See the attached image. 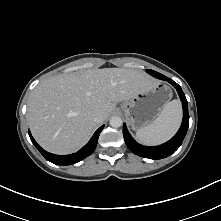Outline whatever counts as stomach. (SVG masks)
<instances>
[{"label": "stomach", "mask_w": 221, "mask_h": 221, "mask_svg": "<svg viewBox=\"0 0 221 221\" xmlns=\"http://www.w3.org/2000/svg\"><path fill=\"white\" fill-rule=\"evenodd\" d=\"M171 97V89L165 84L158 83L124 101L121 109L131 128L139 130L151 124L159 116Z\"/></svg>", "instance_id": "0dacf381"}]
</instances>
